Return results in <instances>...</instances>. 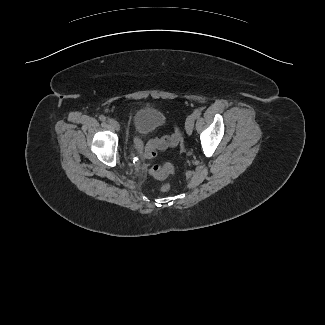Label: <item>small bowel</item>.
I'll use <instances>...</instances> for the list:
<instances>
[{"instance_id": "small-bowel-1", "label": "small bowel", "mask_w": 325, "mask_h": 325, "mask_svg": "<svg viewBox=\"0 0 325 325\" xmlns=\"http://www.w3.org/2000/svg\"><path fill=\"white\" fill-rule=\"evenodd\" d=\"M135 147H136L137 150H142L143 145H142L141 141L135 140Z\"/></svg>"}]
</instances>
